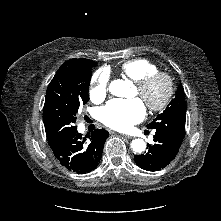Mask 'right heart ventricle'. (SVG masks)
Segmentation results:
<instances>
[{"instance_id":"1","label":"right heart ventricle","mask_w":221,"mask_h":221,"mask_svg":"<svg viewBox=\"0 0 221 221\" xmlns=\"http://www.w3.org/2000/svg\"><path fill=\"white\" fill-rule=\"evenodd\" d=\"M121 73L131 80L138 82L144 77L158 71V67L147 59H133L121 65Z\"/></svg>"}]
</instances>
